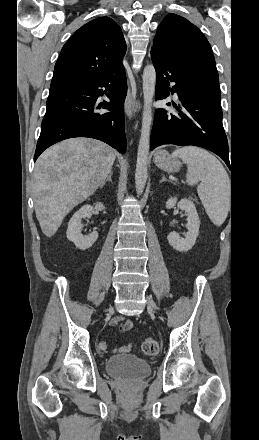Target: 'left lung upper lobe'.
<instances>
[{"label":"left lung upper lobe","mask_w":259,"mask_h":440,"mask_svg":"<svg viewBox=\"0 0 259 440\" xmlns=\"http://www.w3.org/2000/svg\"><path fill=\"white\" fill-rule=\"evenodd\" d=\"M151 51L178 67L204 69L218 75L211 46L202 32L187 19L168 14L160 23Z\"/></svg>","instance_id":"left-lung-upper-lobe-1"}]
</instances>
